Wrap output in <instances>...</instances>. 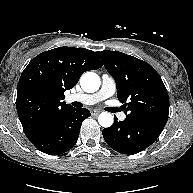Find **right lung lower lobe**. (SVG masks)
Instances as JSON below:
<instances>
[{
  "instance_id": "1",
  "label": "right lung lower lobe",
  "mask_w": 193,
  "mask_h": 193,
  "mask_svg": "<svg viewBox=\"0 0 193 193\" xmlns=\"http://www.w3.org/2000/svg\"><path fill=\"white\" fill-rule=\"evenodd\" d=\"M90 115L88 109L72 108L50 124L42 133L29 140L38 150L46 154H62L76 144L81 124Z\"/></svg>"
}]
</instances>
